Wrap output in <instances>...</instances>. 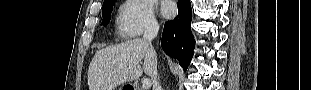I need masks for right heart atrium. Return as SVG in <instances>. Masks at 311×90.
<instances>
[{
    "label": "right heart atrium",
    "mask_w": 311,
    "mask_h": 90,
    "mask_svg": "<svg viewBox=\"0 0 311 90\" xmlns=\"http://www.w3.org/2000/svg\"><path fill=\"white\" fill-rule=\"evenodd\" d=\"M159 27L153 4L148 0H126L119 8L117 31L125 39H135Z\"/></svg>",
    "instance_id": "right-heart-atrium-1"
}]
</instances>
